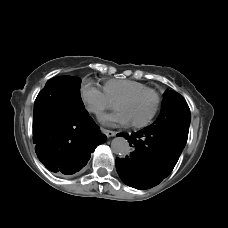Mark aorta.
I'll return each mask as SVG.
<instances>
[{
    "mask_svg": "<svg viewBox=\"0 0 228 228\" xmlns=\"http://www.w3.org/2000/svg\"><path fill=\"white\" fill-rule=\"evenodd\" d=\"M111 149L113 153L125 156L130 152V145L124 137H116L111 142Z\"/></svg>",
    "mask_w": 228,
    "mask_h": 228,
    "instance_id": "762f6f07",
    "label": "aorta"
}]
</instances>
